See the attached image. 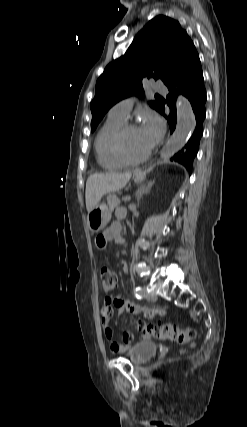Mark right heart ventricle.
<instances>
[{
    "label": "right heart ventricle",
    "mask_w": 247,
    "mask_h": 427,
    "mask_svg": "<svg viewBox=\"0 0 247 427\" xmlns=\"http://www.w3.org/2000/svg\"><path fill=\"white\" fill-rule=\"evenodd\" d=\"M125 120L108 116L106 121L98 130L94 140V151L98 165L105 170H117L124 167L123 163L115 154L114 139Z\"/></svg>",
    "instance_id": "obj_1"
}]
</instances>
